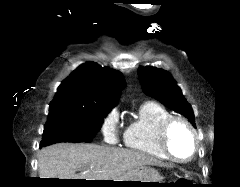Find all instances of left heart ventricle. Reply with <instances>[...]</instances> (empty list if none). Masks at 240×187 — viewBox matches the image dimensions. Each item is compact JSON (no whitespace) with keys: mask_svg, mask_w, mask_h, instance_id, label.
Here are the masks:
<instances>
[{"mask_svg":"<svg viewBox=\"0 0 240 187\" xmlns=\"http://www.w3.org/2000/svg\"><path fill=\"white\" fill-rule=\"evenodd\" d=\"M170 148L179 158H187L193 150L191 135L182 125H176L170 136Z\"/></svg>","mask_w":240,"mask_h":187,"instance_id":"b2bd125f","label":"left heart ventricle"}]
</instances>
